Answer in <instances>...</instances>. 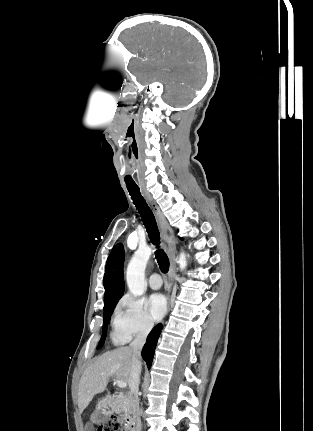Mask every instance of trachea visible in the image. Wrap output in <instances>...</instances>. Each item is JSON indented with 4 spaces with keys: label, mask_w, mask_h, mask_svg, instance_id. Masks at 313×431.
I'll list each match as a JSON object with an SVG mask.
<instances>
[{
    "label": "trachea",
    "mask_w": 313,
    "mask_h": 431,
    "mask_svg": "<svg viewBox=\"0 0 313 431\" xmlns=\"http://www.w3.org/2000/svg\"><path fill=\"white\" fill-rule=\"evenodd\" d=\"M127 189L134 205L140 213L151 243L157 247L155 255L158 265L163 273H167L169 269V259L163 249L160 248V234L155 217L150 207L147 205L145 199L141 195L139 188L127 186Z\"/></svg>",
    "instance_id": "trachea-1"
}]
</instances>
